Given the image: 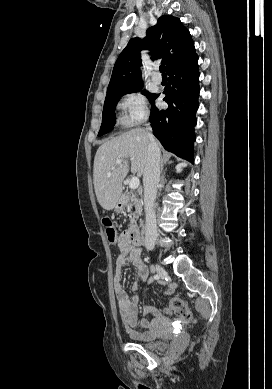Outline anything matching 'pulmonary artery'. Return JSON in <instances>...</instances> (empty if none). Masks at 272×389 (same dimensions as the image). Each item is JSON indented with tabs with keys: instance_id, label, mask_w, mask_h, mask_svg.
Segmentation results:
<instances>
[{
	"instance_id": "obj_1",
	"label": "pulmonary artery",
	"mask_w": 272,
	"mask_h": 389,
	"mask_svg": "<svg viewBox=\"0 0 272 389\" xmlns=\"http://www.w3.org/2000/svg\"><path fill=\"white\" fill-rule=\"evenodd\" d=\"M152 81L155 84H160L162 82V77L158 73H154L152 76Z\"/></svg>"
}]
</instances>
